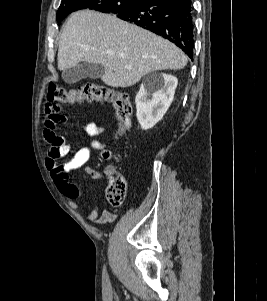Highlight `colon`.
Here are the masks:
<instances>
[{
    "label": "colon",
    "instance_id": "1",
    "mask_svg": "<svg viewBox=\"0 0 267 301\" xmlns=\"http://www.w3.org/2000/svg\"><path fill=\"white\" fill-rule=\"evenodd\" d=\"M48 100L61 103H81L84 101H104L110 103L118 119L117 138H121L130 127L132 107L127 94L107 86L88 83L78 88L66 90L55 83L48 87ZM106 159H118L119 155L112 151H104ZM106 197L112 206H120L126 196V182L124 177L113 169L106 172Z\"/></svg>",
    "mask_w": 267,
    "mask_h": 301
}]
</instances>
